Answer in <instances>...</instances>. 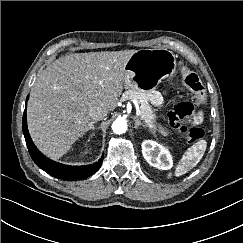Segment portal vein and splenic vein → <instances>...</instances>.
<instances>
[{
    "instance_id": "portal-vein-and-splenic-vein-1",
    "label": "portal vein and splenic vein",
    "mask_w": 243,
    "mask_h": 243,
    "mask_svg": "<svg viewBox=\"0 0 243 243\" xmlns=\"http://www.w3.org/2000/svg\"><path fill=\"white\" fill-rule=\"evenodd\" d=\"M136 115L137 116H140L141 115V111H140V108L139 107L136 108Z\"/></svg>"
}]
</instances>
